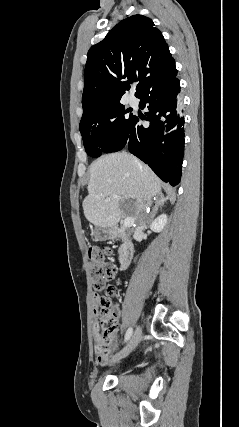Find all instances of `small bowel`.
<instances>
[{"label": "small bowel", "mask_w": 239, "mask_h": 427, "mask_svg": "<svg viewBox=\"0 0 239 427\" xmlns=\"http://www.w3.org/2000/svg\"><path fill=\"white\" fill-rule=\"evenodd\" d=\"M99 299L100 298H99V296L97 294H95L93 296L94 302H98ZM94 312L96 313L95 310H94ZM114 313H115L116 319H118L119 315H120L119 310L115 309ZM95 340H96V343L99 344V342H100V336L98 334V326L97 325H95ZM111 354H112V348H109V349H107L105 351L100 350L98 348V346L96 348L97 362L99 364H105L108 361V359H109V357H110Z\"/></svg>", "instance_id": "obj_1"}]
</instances>
